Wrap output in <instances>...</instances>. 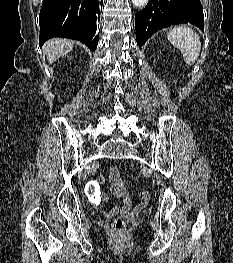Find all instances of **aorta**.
<instances>
[{"mask_svg":"<svg viewBox=\"0 0 233 263\" xmlns=\"http://www.w3.org/2000/svg\"><path fill=\"white\" fill-rule=\"evenodd\" d=\"M149 0H132V3L135 7L137 8H142L144 7Z\"/></svg>","mask_w":233,"mask_h":263,"instance_id":"aorta-1","label":"aorta"}]
</instances>
